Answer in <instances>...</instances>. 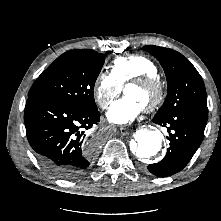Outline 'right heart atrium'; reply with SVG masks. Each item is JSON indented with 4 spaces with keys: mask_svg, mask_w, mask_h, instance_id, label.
I'll list each match as a JSON object with an SVG mask.
<instances>
[{
    "mask_svg": "<svg viewBox=\"0 0 221 221\" xmlns=\"http://www.w3.org/2000/svg\"><path fill=\"white\" fill-rule=\"evenodd\" d=\"M122 86L108 72H101L94 83L93 93L97 105L105 109L121 92Z\"/></svg>",
    "mask_w": 221,
    "mask_h": 221,
    "instance_id": "obj_1",
    "label": "right heart atrium"
}]
</instances>
